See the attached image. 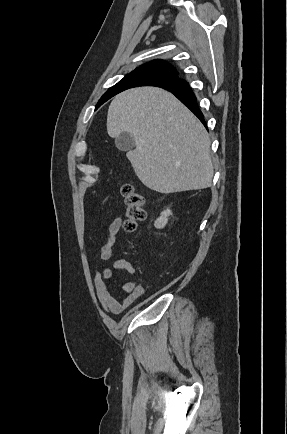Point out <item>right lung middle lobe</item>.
Instances as JSON below:
<instances>
[{"mask_svg":"<svg viewBox=\"0 0 287 434\" xmlns=\"http://www.w3.org/2000/svg\"><path fill=\"white\" fill-rule=\"evenodd\" d=\"M175 79V75L160 69L137 68L129 75L125 76L116 85L108 91L99 100L96 109L114 95L136 86L153 85Z\"/></svg>","mask_w":287,"mask_h":434,"instance_id":"obj_1","label":"right lung middle lobe"}]
</instances>
